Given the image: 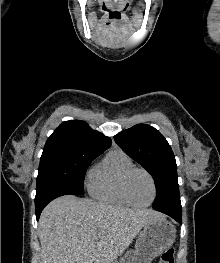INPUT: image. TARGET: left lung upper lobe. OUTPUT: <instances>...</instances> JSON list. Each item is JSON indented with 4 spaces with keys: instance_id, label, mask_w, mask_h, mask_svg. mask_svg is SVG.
I'll return each mask as SVG.
<instances>
[{
    "instance_id": "1",
    "label": "left lung upper lobe",
    "mask_w": 220,
    "mask_h": 263,
    "mask_svg": "<svg viewBox=\"0 0 220 263\" xmlns=\"http://www.w3.org/2000/svg\"><path fill=\"white\" fill-rule=\"evenodd\" d=\"M114 140L152 175L156 185L153 209L182 211L176 161L163 135L149 125L138 124L118 133Z\"/></svg>"
}]
</instances>
